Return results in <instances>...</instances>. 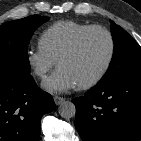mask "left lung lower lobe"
Returning a JSON list of instances; mask_svg holds the SVG:
<instances>
[{"instance_id": "1", "label": "left lung lower lobe", "mask_w": 141, "mask_h": 141, "mask_svg": "<svg viewBox=\"0 0 141 141\" xmlns=\"http://www.w3.org/2000/svg\"><path fill=\"white\" fill-rule=\"evenodd\" d=\"M73 103L83 141L141 139V73L98 83Z\"/></svg>"}]
</instances>
